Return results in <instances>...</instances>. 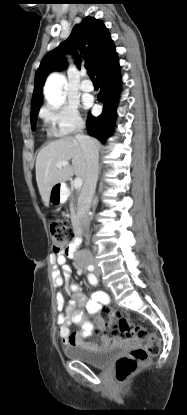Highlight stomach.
I'll use <instances>...</instances> for the list:
<instances>
[{
	"instance_id": "1",
	"label": "stomach",
	"mask_w": 187,
	"mask_h": 415,
	"mask_svg": "<svg viewBox=\"0 0 187 415\" xmlns=\"http://www.w3.org/2000/svg\"><path fill=\"white\" fill-rule=\"evenodd\" d=\"M65 193V185L64 184H56L52 187L50 192L49 201L51 204L59 205L62 203V198Z\"/></svg>"
}]
</instances>
